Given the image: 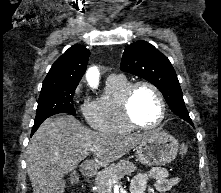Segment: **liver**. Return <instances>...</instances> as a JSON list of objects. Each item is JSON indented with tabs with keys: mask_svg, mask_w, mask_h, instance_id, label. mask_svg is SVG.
I'll return each instance as SVG.
<instances>
[{
	"mask_svg": "<svg viewBox=\"0 0 221 193\" xmlns=\"http://www.w3.org/2000/svg\"><path fill=\"white\" fill-rule=\"evenodd\" d=\"M149 136L98 133L70 115L47 118L27 147V173L33 193H63V177L88 156L91 148H97L94 156L107 164L120 159Z\"/></svg>",
	"mask_w": 221,
	"mask_h": 193,
	"instance_id": "obj_1",
	"label": "liver"
}]
</instances>
